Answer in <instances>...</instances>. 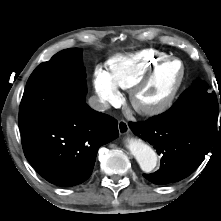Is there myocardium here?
<instances>
[{"label":"myocardium","mask_w":221,"mask_h":221,"mask_svg":"<svg viewBox=\"0 0 221 221\" xmlns=\"http://www.w3.org/2000/svg\"><path fill=\"white\" fill-rule=\"evenodd\" d=\"M179 62L182 67L181 77L170 93V95L162 102L155 104V105H142L138 102L137 97L139 92L151 81L154 77L156 72L163 67L164 65L171 63V62ZM187 77V69L186 65L183 60L176 58V57H167L164 58L157 63H155L140 79H138L130 88H129V101L134 110L146 117H156L165 112H167L177 100Z\"/></svg>","instance_id":"f54148a6"}]
</instances>
